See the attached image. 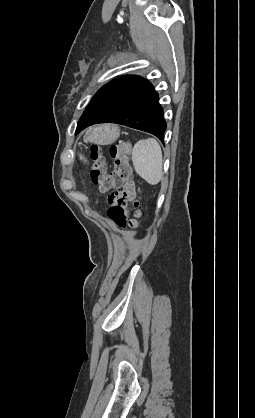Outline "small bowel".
<instances>
[{
    "mask_svg": "<svg viewBox=\"0 0 255 418\" xmlns=\"http://www.w3.org/2000/svg\"><path fill=\"white\" fill-rule=\"evenodd\" d=\"M124 195L126 196V198H131L134 195V186L133 183H127L125 186V191H124Z\"/></svg>",
    "mask_w": 255,
    "mask_h": 418,
    "instance_id": "c3829d8e",
    "label": "small bowel"
}]
</instances>
